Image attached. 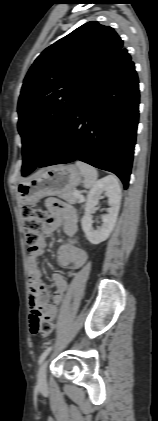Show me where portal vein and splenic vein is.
<instances>
[{"label":"portal vein and splenic vein","instance_id":"1","mask_svg":"<svg viewBox=\"0 0 158 421\" xmlns=\"http://www.w3.org/2000/svg\"><path fill=\"white\" fill-rule=\"evenodd\" d=\"M74 195H75L76 197H79V198H81V197H82V195H81V193H80L79 191H75V192H74Z\"/></svg>","mask_w":158,"mask_h":421}]
</instances>
